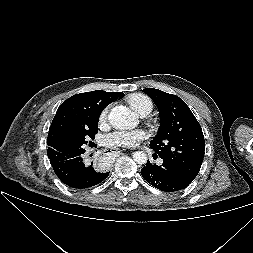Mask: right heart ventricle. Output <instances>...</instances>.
Returning a JSON list of instances; mask_svg holds the SVG:
<instances>
[{
  "label": "right heart ventricle",
  "mask_w": 253,
  "mask_h": 253,
  "mask_svg": "<svg viewBox=\"0 0 253 253\" xmlns=\"http://www.w3.org/2000/svg\"><path fill=\"white\" fill-rule=\"evenodd\" d=\"M127 102L133 110L140 114H147L152 110L153 104L149 97L141 93H134L127 97Z\"/></svg>",
  "instance_id": "right-heart-ventricle-1"
}]
</instances>
